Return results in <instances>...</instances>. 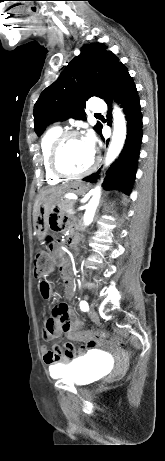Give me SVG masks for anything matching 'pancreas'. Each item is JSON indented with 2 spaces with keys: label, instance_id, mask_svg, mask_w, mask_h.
<instances>
[{
  "label": "pancreas",
  "instance_id": "pancreas-1",
  "mask_svg": "<svg viewBox=\"0 0 165 461\" xmlns=\"http://www.w3.org/2000/svg\"><path fill=\"white\" fill-rule=\"evenodd\" d=\"M74 205H75L74 200L62 199L58 204V208L62 214H66L67 210L73 209Z\"/></svg>",
  "mask_w": 165,
  "mask_h": 461
}]
</instances>
